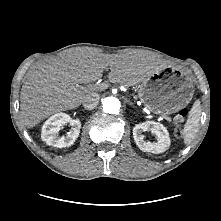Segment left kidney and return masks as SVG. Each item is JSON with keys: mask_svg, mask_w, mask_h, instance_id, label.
Wrapping results in <instances>:
<instances>
[{"mask_svg": "<svg viewBox=\"0 0 221 221\" xmlns=\"http://www.w3.org/2000/svg\"><path fill=\"white\" fill-rule=\"evenodd\" d=\"M151 131L157 138L156 143L144 141L143 132ZM133 137L137 146L143 152L162 153L170 146V138L167 129L161 124L147 121L136 124L133 128Z\"/></svg>", "mask_w": 221, "mask_h": 221, "instance_id": "obj_1", "label": "left kidney"}]
</instances>
